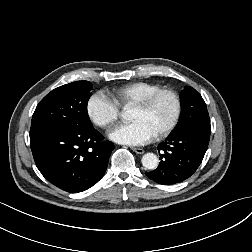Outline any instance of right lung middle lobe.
<instances>
[{
  "label": "right lung middle lobe",
  "mask_w": 252,
  "mask_h": 252,
  "mask_svg": "<svg viewBox=\"0 0 252 252\" xmlns=\"http://www.w3.org/2000/svg\"><path fill=\"white\" fill-rule=\"evenodd\" d=\"M92 88L89 81H76L52 90L37 105L32 116L31 130L93 127L87 113Z\"/></svg>",
  "instance_id": "obj_1"
}]
</instances>
